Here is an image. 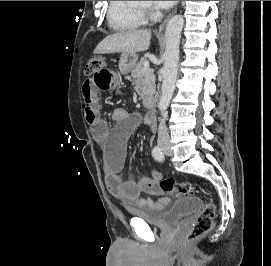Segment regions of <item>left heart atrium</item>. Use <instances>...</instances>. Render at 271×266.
Segmentation results:
<instances>
[{
	"label": "left heart atrium",
	"mask_w": 271,
	"mask_h": 266,
	"mask_svg": "<svg viewBox=\"0 0 271 266\" xmlns=\"http://www.w3.org/2000/svg\"><path fill=\"white\" fill-rule=\"evenodd\" d=\"M175 3L176 1H153V5L159 9H167Z\"/></svg>",
	"instance_id": "left-heart-atrium-1"
}]
</instances>
